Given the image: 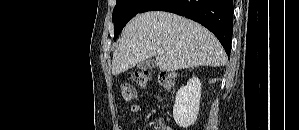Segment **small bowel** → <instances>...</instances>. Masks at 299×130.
<instances>
[{
  "label": "small bowel",
  "mask_w": 299,
  "mask_h": 130,
  "mask_svg": "<svg viewBox=\"0 0 299 130\" xmlns=\"http://www.w3.org/2000/svg\"><path fill=\"white\" fill-rule=\"evenodd\" d=\"M141 111H142V108L138 104H133V105L130 106V112H132L134 114H139V113H141ZM119 129L121 130L122 127L120 126Z\"/></svg>",
  "instance_id": "obj_1"
}]
</instances>
